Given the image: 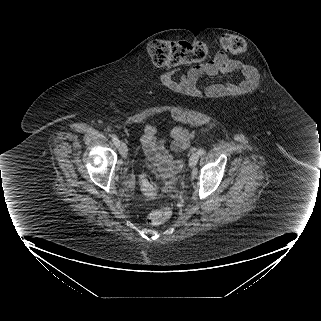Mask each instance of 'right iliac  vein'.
I'll return each instance as SVG.
<instances>
[{
  "label": "right iliac vein",
  "mask_w": 321,
  "mask_h": 321,
  "mask_svg": "<svg viewBox=\"0 0 321 321\" xmlns=\"http://www.w3.org/2000/svg\"><path fill=\"white\" fill-rule=\"evenodd\" d=\"M119 151H120V154L123 158H126L127 157V154H128V149H127V146L124 142H119Z\"/></svg>",
  "instance_id": "63e3f726"
}]
</instances>
